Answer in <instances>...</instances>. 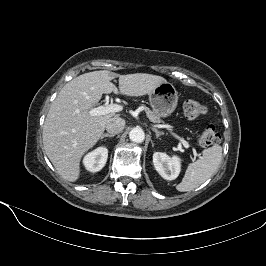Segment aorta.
<instances>
[{
  "instance_id": "obj_1",
  "label": "aorta",
  "mask_w": 266,
  "mask_h": 266,
  "mask_svg": "<svg viewBox=\"0 0 266 266\" xmlns=\"http://www.w3.org/2000/svg\"><path fill=\"white\" fill-rule=\"evenodd\" d=\"M129 138L133 142L142 143L145 139L144 131L139 127L133 128L129 133Z\"/></svg>"
}]
</instances>
